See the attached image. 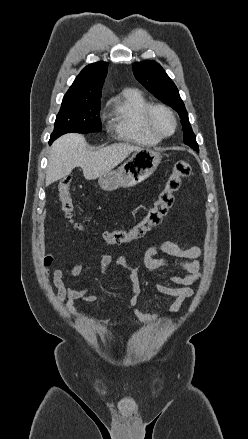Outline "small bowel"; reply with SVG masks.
I'll list each match as a JSON object with an SVG mask.
<instances>
[{
	"label": "small bowel",
	"instance_id": "small-bowel-1",
	"mask_svg": "<svg viewBox=\"0 0 248 439\" xmlns=\"http://www.w3.org/2000/svg\"><path fill=\"white\" fill-rule=\"evenodd\" d=\"M165 239L150 245L143 256V263L148 274L154 273L160 268L168 265H174L180 268L185 274L169 275L167 280L175 286L154 284L155 290L164 296L174 298L173 303L168 308L169 313H176L183 303L192 297L193 290L191 286L201 277V256L202 249L197 246L190 248H181L172 239ZM158 253L166 254L165 257H158ZM57 262V259L51 255L45 256L43 264L49 269ZM112 263V257L103 253L100 255V274H105ZM116 264L129 271L131 282V297L128 302L129 310L141 322L153 321L157 314L148 313L137 308L138 300L142 294L141 270L139 266L131 264L125 257H119ZM83 266L80 262L75 263L67 270L53 269L51 271V283L56 288V297L59 303H66L68 311L77 317L80 314L75 306L77 300L86 303H95L99 298L95 295L88 294V289H74L65 286L67 278L77 277L81 274ZM101 324H107L108 321H101Z\"/></svg>",
	"mask_w": 248,
	"mask_h": 439
}]
</instances>
